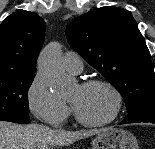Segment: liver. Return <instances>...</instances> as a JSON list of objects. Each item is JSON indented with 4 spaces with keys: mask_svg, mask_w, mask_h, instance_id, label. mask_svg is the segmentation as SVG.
<instances>
[{
    "mask_svg": "<svg viewBox=\"0 0 155 149\" xmlns=\"http://www.w3.org/2000/svg\"><path fill=\"white\" fill-rule=\"evenodd\" d=\"M107 129L64 131L38 124L17 125L0 121V149H49L70 145Z\"/></svg>",
    "mask_w": 155,
    "mask_h": 149,
    "instance_id": "1",
    "label": "liver"
}]
</instances>
